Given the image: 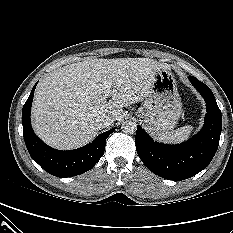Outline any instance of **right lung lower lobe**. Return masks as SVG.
Masks as SVG:
<instances>
[{"mask_svg":"<svg viewBox=\"0 0 233 233\" xmlns=\"http://www.w3.org/2000/svg\"><path fill=\"white\" fill-rule=\"evenodd\" d=\"M36 85L37 83L22 111L23 137L30 156L45 171L56 177H72L90 170L104 154L106 139L115 128L98 135L92 143L75 150L60 151L49 147L35 135L30 122V110Z\"/></svg>","mask_w":233,"mask_h":233,"instance_id":"98d812e1","label":"right lung lower lobe"}]
</instances>
